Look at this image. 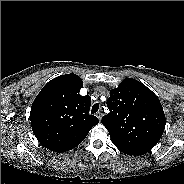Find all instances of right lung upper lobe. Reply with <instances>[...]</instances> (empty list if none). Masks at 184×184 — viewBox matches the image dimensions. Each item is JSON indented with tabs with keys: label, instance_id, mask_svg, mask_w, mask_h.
<instances>
[{
	"label": "right lung upper lobe",
	"instance_id": "1",
	"mask_svg": "<svg viewBox=\"0 0 184 184\" xmlns=\"http://www.w3.org/2000/svg\"><path fill=\"white\" fill-rule=\"evenodd\" d=\"M81 78L76 74L49 81L35 98L30 112L32 130L47 149L65 152L78 146L99 123L89 115L91 98L81 96Z\"/></svg>",
	"mask_w": 184,
	"mask_h": 184
}]
</instances>
